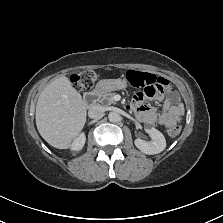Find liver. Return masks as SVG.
Returning <instances> with one entry per match:
<instances>
[{
  "instance_id": "liver-1",
  "label": "liver",
  "mask_w": 223,
  "mask_h": 223,
  "mask_svg": "<svg viewBox=\"0 0 223 223\" xmlns=\"http://www.w3.org/2000/svg\"><path fill=\"white\" fill-rule=\"evenodd\" d=\"M86 106L80 93L65 76L49 84L36 105V125L51 146L67 149L86 122Z\"/></svg>"
}]
</instances>
